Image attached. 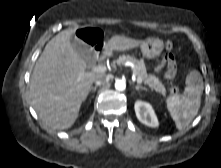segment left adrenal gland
<instances>
[{
	"label": "left adrenal gland",
	"instance_id": "1",
	"mask_svg": "<svg viewBox=\"0 0 221 168\" xmlns=\"http://www.w3.org/2000/svg\"><path fill=\"white\" fill-rule=\"evenodd\" d=\"M134 88L138 91V90H145V91H147V88H145V87H143V86H141V85H134Z\"/></svg>",
	"mask_w": 221,
	"mask_h": 168
}]
</instances>
